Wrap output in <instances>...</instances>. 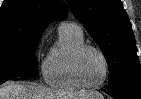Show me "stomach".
<instances>
[{
	"mask_svg": "<svg viewBox=\"0 0 141 99\" xmlns=\"http://www.w3.org/2000/svg\"><path fill=\"white\" fill-rule=\"evenodd\" d=\"M87 99H100V98H98V96L97 95H92V96H90L89 98H87Z\"/></svg>",
	"mask_w": 141,
	"mask_h": 99,
	"instance_id": "0dacf381",
	"label": "stomach"
}]
</instances>
